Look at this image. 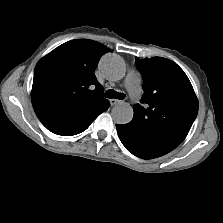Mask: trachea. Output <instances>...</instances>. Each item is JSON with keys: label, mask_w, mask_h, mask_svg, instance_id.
<instances>
[{"label": "trachea", "mask_w": 223, "mask_h": 223, "mask_svg": "<svg viewBox=\"0 0 223 223\" xmlns=\"http://www.w3.org/2000/svg\"><path fill=\"white\" fill-rule=\"evenodd\" d=\"M105 97L106 98H115V99L123 100L125 98V94L124 93H119V92H116L113 89H110V90H107L105 92Z\"/></svg>", "instance_id": "obj_1"}]
</instances>
